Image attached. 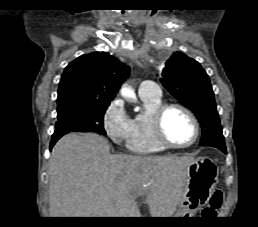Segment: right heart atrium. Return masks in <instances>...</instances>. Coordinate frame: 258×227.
<instances>
[{
	"mask_svg": "<svg viewBox=\"0 0 258 227\" xmlns=\"http://www.w3.org/2000/svg\"><path fill=\"white\" fill-rule=\"evenodd\" d=\"M107 136L116 144L128 142L132 132V119L120 99L113 100L107 107L103 120Z\"/></svg>",
	"mask_w": 258,
	"mask_h": 227,
	"instance_id": "obj_1",
	"label": "right heart atrium"
}]
</instances>
